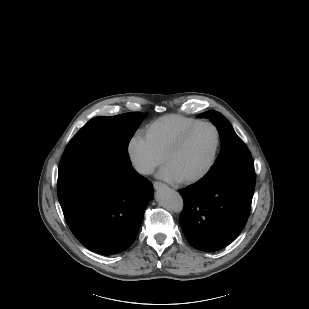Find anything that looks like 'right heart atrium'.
I'll return each mask as SVG.
<instances>
[{"label": "right heart atrium", "instance_id": "obj_1", "mask_svg": "<svg viewBox=\"0 0 309 309\" xmlns=\"http://www.w3.org/2000/svg\"><path fill=\"white\" fill-rule=\"evenodd\" d=\"M127 153L131 165L141 175L151 174L164 159L141 133H136L130 139Z\"/></svg>", "mask_w": 309, "mask_h": 309}]
</instances>
